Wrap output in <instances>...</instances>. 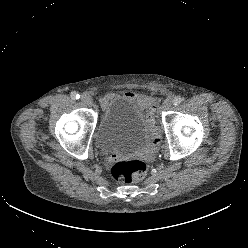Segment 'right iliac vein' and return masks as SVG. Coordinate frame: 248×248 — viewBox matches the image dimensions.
<instances>
[{"label": "right iliac vein", "instance_id": "obj_1", "mask_svg": "<svg viewBox=\"0 0 248 248\" xmlns=\"http://www.w3.org/2000/svg\"><path fill=\"white\" fill-rule=\"evenodd\" d=\"M81 101L83 104L87 105V106H91L92 105V99L89 95L87 94H83L81 96Z\"/></svg>", "mask_w": 248, "mask_h": 248}]
</instances>
